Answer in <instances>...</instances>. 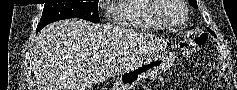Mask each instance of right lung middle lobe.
<instances>
[{
	"label": "right lung middle lobe",
	"mask_w": 237,
	"mask_h": 90,
	"mask_svg": "<svg viewBox=\"0 0 237 90\" xmlns=\"http://www.w3.org/2000/svg\"><path fill=\"white\" fill-rule=\"evenodd\" d=\"M75 17L98 23V1L45 4L36 32L52 22Z\"/></svg>",
	"instance_id": "obj_1"
}]
</instances>
